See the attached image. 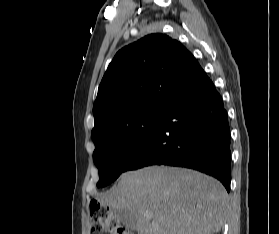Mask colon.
Returning a JSON list of instances; mask_svg holds the SVG:
<instances>
[{
	"instance_id": "5ec220e1",
	"label": "colon",
	"mask_w": 279,
	"mask_h": 234,
	"mask_svg": "<svg viewBox=\"0 0 279 234\" xmlns=\"http://www.w3.org/2000/svg\"><path fill=\"white\" fill-rule=\"evenodd\" d=\"M90 228L92 234H132L115 218L112 212L97 202L90 205Z\"/></svg>"
}]
</instances>
